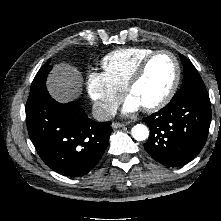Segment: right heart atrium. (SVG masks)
I'll list each match as a JSON object with an SVG mask.
<instances>
[{
	"label": "right heart atrium",
	"mask_w": 221,
	"mask_h": 221,
	"mask_svg": "<svg viewBox=\"0 0 221 221\" xmlns=\"http://www.w3.org/2000/svg\"><path fill=\"white\" fill-rule=\"evenodd\" d=\"M86 86L94 109L101 118L115 111L124 93L104 72H89Z\"/></svg>",
	"instance_id": "1"
}]
</instances>
